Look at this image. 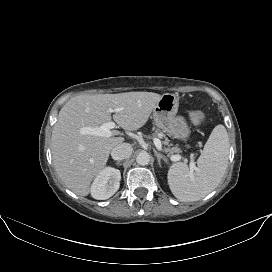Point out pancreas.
<instances>
[{
  "label": "pancreas",
  "mask_w": 272,
  "mask_h": 272,
  "mask_svg": "<svg viewBox=\"0 0 272 272\" xmlns=\"http://www.w3.org/2000/svg\"><path fill=\"white\" fill-rule=\"evenodd\" d=\"M156 132H157L156 134H157V136L159 138H163L164 137L163 144L167 146L166 152H168L169 154L180 152V149L178 147H174L171 144H169L170 140L165 136V134H163L162 132H159L158 130Z\"/></svg>",
  "instance_id": "obj_1"
}]
</instances>
